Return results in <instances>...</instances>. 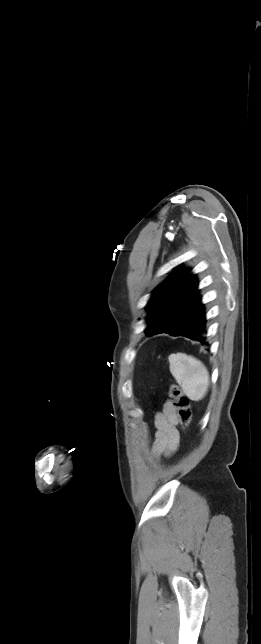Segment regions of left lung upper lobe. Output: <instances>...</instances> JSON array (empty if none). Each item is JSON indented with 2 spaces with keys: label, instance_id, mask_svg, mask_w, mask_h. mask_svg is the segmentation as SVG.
I'll return each instance as SVG.
<instances>
[{
  "label": "left lung upper lobe",
  "instance_id": "obj_1",
  "mask_svg": "<svg viewBox=\"0 0 261 644\" xmlns=\"http://www.w3.org/2000/svg\"><path fill=\"white\" fill-rule=\"evenodd\" d=\"M190 270H179L155 291L147 305V336L170 333L187 322L202 307L198 282Z\"/></svg>",
  "mask_w": 261,
  "mask_h": 644
}]
</instances>
